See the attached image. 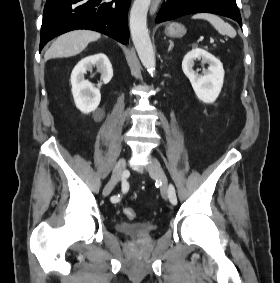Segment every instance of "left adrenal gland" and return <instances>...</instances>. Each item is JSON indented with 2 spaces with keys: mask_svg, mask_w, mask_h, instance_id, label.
<instances>
[{
  "mask_svg": "<svg viewBox=\"0 0 280 283\" xmlns=\"http://www.w3.org/2000/svg\"><path fill=\"white\" fill-rule=\"evenodd\" d=\"M169 47H168V52L172 50L174 43L172 41H169Z\"/></svg>",
  "mask_w": 280,
  "mask_h": 283,
  "instance_id": "a2214340",
  "label": "left adrenal gland"
}]
</instances>
